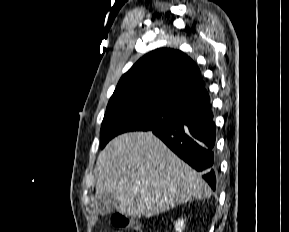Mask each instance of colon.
Instances as JSON below:
<instances>
[{
    "mask_svg": "<svg viewBox=\"0 0 289 232\" xmlns=\"http://www.w3.org/2000/svg\"><path fill=\"white\" fill-rule=\"evenodd\" d=\"M113 226L120 230H131L132 232H142L138 222L131 219L125 214L115 213L111 218Z\"/></svg>",
    "mask_w": 289,
    "mask_h": 232,
    "instance_id": "1",
    "label": "colon"
}]
</instances>
